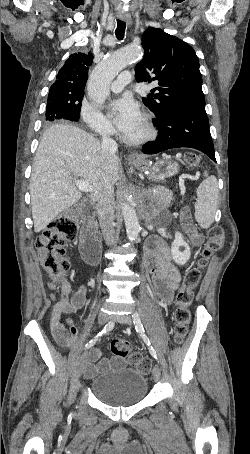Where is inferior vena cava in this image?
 <instances>
[{"label": "inferior vena cava", "instance_id": "1", "mask_svg": "<svg viewBox=\"0 0 250 454\" xmlns=\"http://www.w3.org/2000/svg\"><path fill=\"white\" fill-rule=\"evenodd\" d=\"M101 148L104 158L114 155L117 151V143L104 133L102 135ZM98 219L104 240L107 245L115 241L114 230V188L111 185L106 186L98 201Z\"/></svg>", "mask_w": 250, "mask_h": 454}]
</instances>
